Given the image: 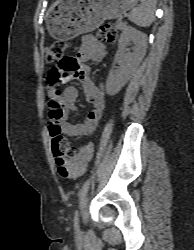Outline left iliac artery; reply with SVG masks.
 <instances>
[{"label":"left iliac artery","instance_id":"44dca946","mask_svg":"<svg viewBox=\"0 0 194 250\" xmlns=\"http://www.w3.org/2000/svg\"><path fill=\"white\" fill-rule=\"evenodd\" d=\"M74 229L76 233H79V211H75L74 215Z\"/></svg>","mask_w":194,"mask_h":250}]
</instances>
